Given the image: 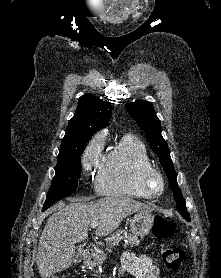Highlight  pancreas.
Here are the masks:
<instances>
[{
  "instance_id": "cf45deb5",
  "label": "pancreas",
  "mask_w": 221,
  "mask_h": 278,
  "mask_svg": "<svg viewBox=\"0 0 221 278\" xmlns=\"http://www.w3.org/2000/svg\"><path fill=\"white\" fill-rule=\"evenodd\" d=\"M122 240L125 242L123 245L124 248H126L127 245L135 246L139 243V240L136 236L130 235L128 238H124L123 236H121L120 232H117L106 239L108 251L111 252V248L119 245V242Z\"/></svg>"
}]
</instances>
